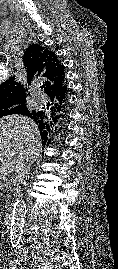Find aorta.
Returning <instances> with one entry per match:
<instances>
[{"mask_svg":"<svg viewBox=\"0 0 118 269\" xmlns=\"http://www.w3.org/2000/svg\"><path fill=\"white\" fill-rule=\"evenodd\" d=\"M26 211L25 201L17 199L13 208L10 228V243L13 248H16L19 245L22 238Z\"/></svg>","mask_w":118,"mask_h":269,"instance_id":"1","label":"aorta"}]
</instances>
